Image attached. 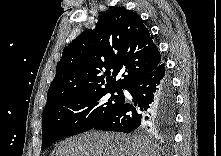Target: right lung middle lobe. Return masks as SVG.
Listing matches in <instances>:
<instances>
[{"label":"right lung middle lobe","mask_w":221,"mask_h":156,"mask_svg":"<svg viewBox=\"0 0 221 156\" xmlns=\"http://www.w3.org/2000/svg\"><path fill=\"white\" fill-rule=\"evenodd\" d=\"M124 101L122 90L101 89L70 94L45 108L41 149L63 137L94 128L119 109Z\"/></svg>","instance_id":"dd1d6c3e"}]
</instances>
